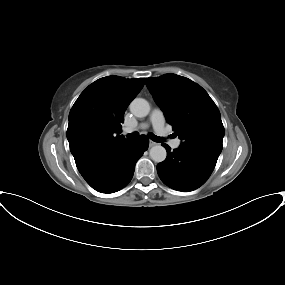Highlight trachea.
<instances>
[{"mask_svg":"<svg viewBox=\"0 0 285 285\" xmlns=\"http://www.w3.org/2000/svg\"><path fill=\"white\" fill-rule=\"evenodd\" d=\"M148 136L154 142H163L162 138L154 135L153 133H149ZM137 137H138V133L137 132L127 134V138L128 139H136Z\"/></svg>","mask_w":285,"mask_h":285,"instance_id":"obj_1","label":"trachea"}]
</instances>
